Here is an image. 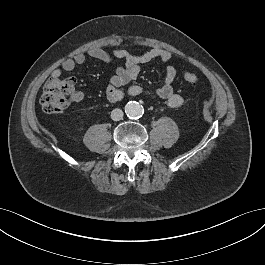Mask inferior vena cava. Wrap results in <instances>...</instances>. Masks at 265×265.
I'll return each mask as SVG.
<instances>
[{
  "instance_id": "602c4592",
  "label": "inferior vena cava",
  "mask_w": 265,
  "mask_h": 265,
  "mask_svg": "<svg viewBox=\"0 0 265 265\" xmlns=\"http://www.w3.org/2000/svg\"><path fill=\"white\" fill-rule=\"evenodd\" d=\"M123 111L121 109H113L112 112H111V118L112 120L114 121H119L123 118Z\"/></svg>"
}]
</instances>
